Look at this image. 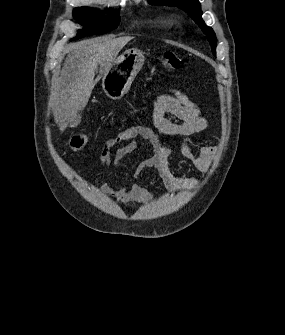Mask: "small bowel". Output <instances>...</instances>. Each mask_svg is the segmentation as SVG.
Here are the masks:
<instances>
[{
	"label": "small bowel",
	"mask_w": 285,
	"mask_h": 335,
	"mask_svg": "<svg viewBox=\"0 0 285 335\" xmlns=\"http://www.w3.org/2000/svg\"><path fill=\"white\" fill-rule=\"evenodd\" d=\"M171 114L180 122H174L165 115ZM152 122L157 133L145 125H133L111 137L102 146L100 159L103 163L111 160V149L119 143L128 142L118 148L113 156L116 164L135 152L140 142H145L150 151V156L141 160L134 169L136 178L147 168L158 171L166 189L172 193L193 189L199 182L197 178H185L175 174L171 165L174 147L162 145L159 134L179 137L178 148L181 154L188 159L199 171H207L211 165L215 153V146H195L190 136L202 131L209 126V121L202 115L199 106L185 93L177 88H170L158 95L153 102ZM101 189L117 201L128 204H147L150 200L149 190L138 180L130 186L112 188L108 184H102Z\"/></svg>",
	"instance_id": "c3829d8e"
}]
</instances>
